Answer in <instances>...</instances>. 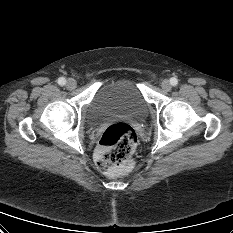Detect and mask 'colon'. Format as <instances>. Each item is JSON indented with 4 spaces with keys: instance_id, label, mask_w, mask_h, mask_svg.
Listing matches in <instances>:
<instances>
[{
    "instance_id": "obj_1",
    "label": "colon",
    "mask_w": 233,
    "mask_h": 233,
    "mask_svg": "<svg viewBox=\"0 0 233 233\" xmlns=\"http://www.w3.org/2000/svg\"><path fill=\"white\" fill-rule=\"evenodd\" d=\"M134 128L126 122L109 125L103 132L96 153V165L106 174L122 171L137 146Z\"/></svg>"
}]
</instances>
